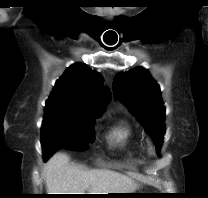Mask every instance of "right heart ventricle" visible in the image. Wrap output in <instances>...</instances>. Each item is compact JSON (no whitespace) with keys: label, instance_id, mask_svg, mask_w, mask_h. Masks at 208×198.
<instances>
[{"label":"right heart ventricle","instance_id":"right-heart-ventricle-1","mask_svg":"<svg viewBox=\"0 0 208 198\" xmlns=\"http://www.w3.org/2000/svg\"><path fill=\"white\" fill-rule=\"evenodd\" d=\"M107 138L111 144L123 148H133L137 146L134 132L126 122H119L112 126L107 133Z\"/></svg>","mask_w":208,"mask_h":198}]
</instances>
